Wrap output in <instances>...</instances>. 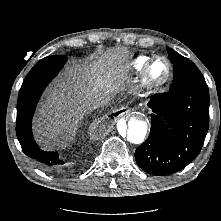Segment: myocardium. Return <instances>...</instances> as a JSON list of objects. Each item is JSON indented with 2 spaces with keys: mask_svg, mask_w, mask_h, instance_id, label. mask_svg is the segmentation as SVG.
I'll return each instance as SVG.
<instances>
[{
  "mask_svg": "<svg viewBox=\"0 0 221 221\" xmlns=\"http://www.w3.org/2000/svg\"><path fill=\"white\" fill-rule=\"evenodd\" d=\"M159 59H162L166 62L167 66H168V72H167L166 77L163 80L155 81V80L151 79L150 71H151V68H152V65L154 64V62ZM172 75H173V66H172L171 61L167 57L162 56V55L153 56L147 62V64L145 65V67L142 71L141 86L148 93L158 92L168 85V83L170 82V80L172 78Z\"/></svg>",
  "mask_w": 221,
  "mask_h": 221,
  "instance_id": "1",
  "label": "myocardium"
}]
</instances>
